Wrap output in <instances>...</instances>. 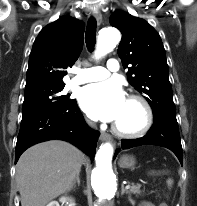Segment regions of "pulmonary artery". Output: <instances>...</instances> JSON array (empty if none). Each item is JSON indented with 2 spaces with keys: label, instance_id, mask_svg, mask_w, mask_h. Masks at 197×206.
I'll list each match as a JSON object with an SVG mask.
<instances>
[{
  "label": "pulmonary artery",
  "instance_id": "pulmonary-artery-1",
  "mask_svg": "<svg viewBox=\"0 0 197 206\" xmlns=\"http://www.w3.org/2000/svg\"><path fill=\"white\" fill-rule=\"evenodd\" d=\"M119 69V62L117 59H109L106 67H90L81 69L77 75L72 78L71 84L78 85L88 82L103 80L107 78L111 72H115Z\"/></svg>",
  "mask_w": 197,
  "mask_h": 206
}]
</instances>
